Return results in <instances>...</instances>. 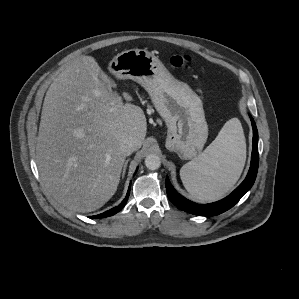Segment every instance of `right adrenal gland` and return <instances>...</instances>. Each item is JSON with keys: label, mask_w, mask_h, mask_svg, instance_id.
Returning a JSON list of instances; mask_svg holds the SVG:
<instances>
[{"label": "right adrenal gland", "mask_w": 299, "mask_h": 299, "mask_svg": "<svg viewBox=\"0 0 299 299\" xmlns=\"http://www.w3.org/2000/svg\"><path fill=\"white\" fill-rule=\"evenodd\" d=\"M128 161L129 159H127L124 163V166H123V172H122V178H124V175H125V172H126V168H127V164H128Z\"/></svg>", "instance_id": "right-adrenal-gland-1"}]
</instances>
